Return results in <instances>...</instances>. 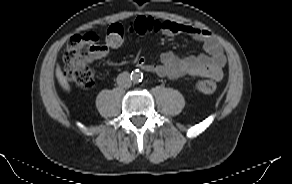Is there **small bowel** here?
<instances>
[{"label":"small bowel","instance_id":"c3829d8e","mask_svg":"<svg viewBox=\"0 0 292 184\" xmlns=\"http://www.w3.org/2000/svg\"><path fill=\"white\" fill-rule=\"evenodd\" d=\"M141 19H151L155 21L158 26L157 32L165 36L186 34L196 38L203 43L205 53L179 58L173 52L167 51L161 54L160 63L149 64L144 57H140L137 62L138 67L172 80H178L188 76L210 77L214 80H221L223 78V68L226 64V57L221 45L211 32L189 24L170 20L160 21L145 16L130 22L127 26V30L130 33H139L137 24ZM104 54L105 53L96 58Z\"/></svg>","mask_w":292,"mask_h":184}]
</instances>
